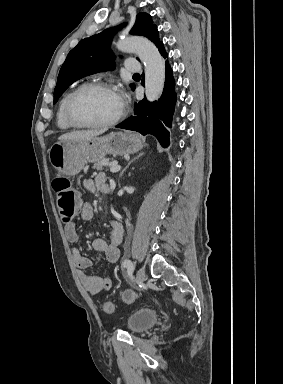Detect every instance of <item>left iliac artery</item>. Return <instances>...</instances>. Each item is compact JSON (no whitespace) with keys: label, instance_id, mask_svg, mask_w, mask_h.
I'll return each mask as SVG.
<instances>
[{"label":"left iliac artery","instance_id":"left-iliac-artery-1","mask_svg":"<svg viewBox=\"0 0 283 384\" xmlns=\"http://www.w3.org/2000/svg\"><path fill=\"white\" fill-rule=\"evenodd\" d=\"M122 266L127 268L128 273H132L134 271V264L131 260H125Z\"/></svg>","mask_w":283,"mask_h":384}]
</instances>
